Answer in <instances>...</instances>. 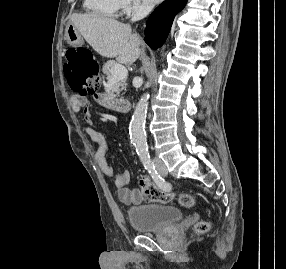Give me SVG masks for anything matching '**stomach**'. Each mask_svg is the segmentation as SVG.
<instances>
[{"label": "stomach", "instance_id": "1", "mask_svg": "<svg viewBox=\"0 0 286 269\" xmlns=\"http://www.w3.org/2000/svg\"><path fill=\"white\" fill-rule=\"evenodd\" d=\"M64 39L70 46L76 47L83 44V37L81 33L71 23L66 26Z\"/></svg>", "mask_w": 286, "mask_h": 269}]
</instances>
